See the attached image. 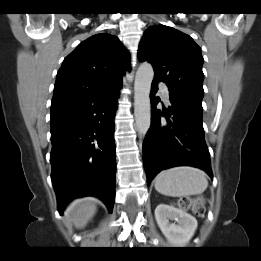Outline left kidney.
<instances>
[{
	"label": "left kidney",
	"mask_w": 261,
	"mask_h": 261,
	"mask_svg": "<svg viewBox=\"0 0 261 261\" xmlns=\"http://www.w3.org/2000/svg\"><path fill=\"white\" fill-rule=\"evenodd\" d=\"M155 219L164 236L175 246H185L198 226L197 220L191 214L166 204L156 207Z\"/></svg>",
	"instance_id": "obj_1"
}]
</instances>
